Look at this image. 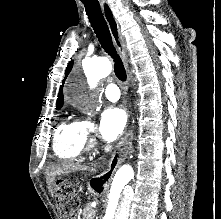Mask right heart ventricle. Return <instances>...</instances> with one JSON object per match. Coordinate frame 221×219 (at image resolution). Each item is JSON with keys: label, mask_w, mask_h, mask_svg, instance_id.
Returning a JSON list of instances; mask_svg holds the SVG:
<instances>
[{"label": "right heart ventricle", "mask_w": 221, "mask_h": 219, "mask_svg": "<svg viewBox=\"0 0 221 219\" xmlns=\"http://www.w3.org/2000/svg\"><path fill=\"white\" fill-rule=\"evenodd\" d=\"M53 149L55 154L64 161H75L86 150L82 122L78 120L64 121L57 128Z\"/></svg>", "instance_id": "obj_1"}]
</instances>
